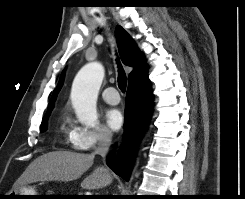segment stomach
Segmentation results:
<instances>
[{
    "label": "stomach",
    "mask_w": 245,
    "mask_h": 199,
    "mask_svg": "<svg viewBox=\"0 0 245 199\" xmlns=\"http://www.w3.org/2000/svg\"><path fill=\"white\" fill-rule=\"evenodd\" d=\"M12 199H35V196H15V195H39L32 187L21 186L18 189L10 192Z\"/></svg>",
    "instance_id": "stomach-1"
}]
</instances>
